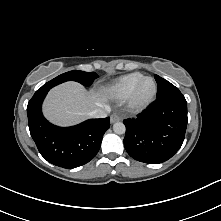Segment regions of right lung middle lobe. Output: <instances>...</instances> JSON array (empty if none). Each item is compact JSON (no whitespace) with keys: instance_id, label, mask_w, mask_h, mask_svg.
Listing matches in <instances>:
<instances>
[{"instance_id":"right-lung-middle-lobe-1","label":"right lung middle lobe","mask_w":221,"mask_h":221,"mask_svg":"<svg viewBox=\"0 0 221 221\" xmlns=\"http://www.w3.org/2000/svg\"><path fill=\"white\" fill-rule=\"evenodd\" d=\"M98 77V75L94 72H84L80 70H73L66 72L52 79L51 81L45 83L40 89L37 91H42L45 89H51L52 87L61 84L66 81H76L81 83L84 86H90L93 81Z\"/></svg>"}]
</instances>
